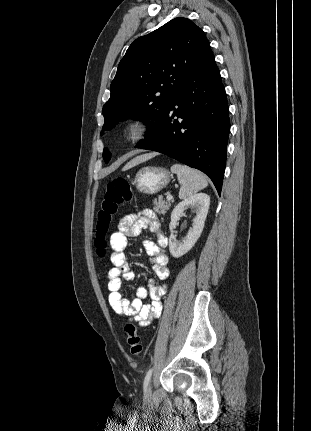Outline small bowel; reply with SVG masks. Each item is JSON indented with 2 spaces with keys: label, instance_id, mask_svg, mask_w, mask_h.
I'll return each mask as SVG.
<instances>
[{
  "label": "small bowel",
  "instance_id": "small-bowel-1",
  "mask_svg": "<svg viewBox=\"0 0 311 431\" xmlns=\"http://www.w3.org/2000/svg\"><path fill=\"white\" fill-rule=\"evenodd\" d=\"M143 229H148L156 238V241L147 239L143 242L146 253L151 257L154 272L160 280L169 277V257L165 250L168 239L162 230L161 221L148 209L128 214L121 219L118 230L110 237L113 267L107 274L110 306L118 315L129 316L141 326L148 325L160 315L161 298L167 288L165 284H158L151 279L147 288H137L136 299L130 301L121 294L122 280L132 281L135 277L125 255L128 239L138 236ZM146 297H150L151 303H142V299Z\"/></svg>",
  "mask_w": 311,
  "mask_h": 431
}]
</instances>
